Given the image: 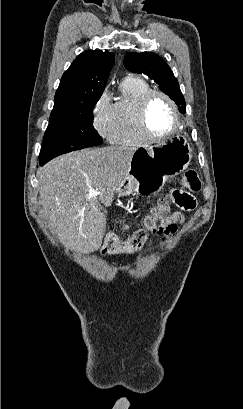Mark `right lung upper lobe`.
<instances>
[{
	"instance_id": "1",
	"label": "right lung upper lobe",
	"mask_w": 243,
	"mask_h": 409,
	"mask_svg": "<svg viewBox=\"0 0 243 409\" xmlns=\"http://www.w3.org/2000/svg\"><path fill=\"white\" fill-rule=\"evenodd\" d=\"M114 62L111 52L88 50L78 55L62 76L54 104L98 101Z\"/></svg>"
}]
</instances>
